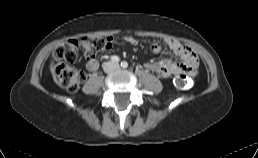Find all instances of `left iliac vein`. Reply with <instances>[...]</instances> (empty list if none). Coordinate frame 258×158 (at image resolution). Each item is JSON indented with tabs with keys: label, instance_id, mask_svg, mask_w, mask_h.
I'll use <instances>...</instances> for the list:
<instances>
[{
	"label": "left iliac vein",
	"instance_id": "1",
	"mask_svg": "<svg viewBox=\"0 0 258 158\" xmlns=\"http://www.w3.org/2000/svg\"><path fill=\"white\" fill-rule=\"evenodd\" d=\"M115 68H118V65H117V64L115 65Z\"/></svg>",
	"mask_w": 258,
	"mask_h": 158
}]
</instances>
